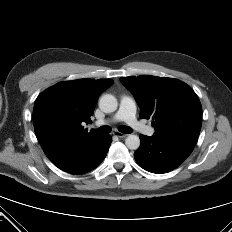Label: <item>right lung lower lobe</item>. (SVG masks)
Returning <instances> with one entry per match:
<instances>
[{"mask_svg":"<svg viewBox=\"0 0 232 232\" xmlns=\"http://www.w3.org/2000/svg\"><path fill=\"white\" fill-rule=\"evenodd\" d=\"M112 137L97 136L89 143L63 150L49 159L59 169L71 174H84L95 169L105 158Z\"/></svg>","mask_w":232,"mask_h":232,"instance_id":"right-lung-lower-lobe-1","label":"right lung lower lobe"}]
</instances>
